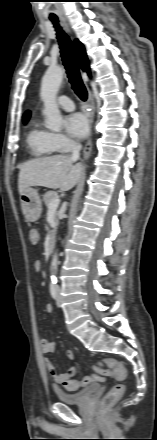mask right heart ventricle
<instances>
[{
	"mask_svg": "<svg viewBox=\"0 0 157 440\" xmlns=\"http://www.w3.org/2000/svg\"><path fill=\"white\" fill-rule=\"evenodd\" d=\"M26 144L34 156H46L53 153L56 148L51 139V133L42 127L37 119L31 122L26 135Z\"/></svg>",
	"mask_w": 157,
	"mask_h": 440,
	"instance_id": "e07e8e85",
	"label": "right heart ventricle"
}]
</instances>
